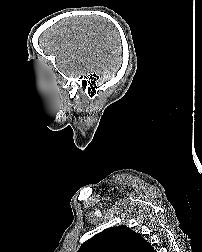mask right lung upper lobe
<instances>
[{"mask_svg": "<svg viewBox=\"0 0 202 252\" xmlns=\"http://www.w3.org/2000/svg\"><path fill=\"white\" fill-rule=\"evenodd\" d=\"M78 252H156L127 226L111 227L86 241Z\"/></svg>", "mask_w": 202, "mask_h": 252, "instance_id": "cb5924a9", "label": "right lung upper lobe"}]
</instances>
